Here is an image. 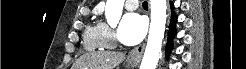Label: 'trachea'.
<instances>
[{
    "label": "trachea",
    "mask_w": 246,
    "mask_h": 69,
    "mask_svg": "<svg viewBox=\"0 0 246 69\" xmlns=\"http://www.w3.org/2000/svg\"><path fill=\"white\" fill-rule=\"evenodd\" d=\"M143 7H148V3L146 1L143 2Z\"/></svg>",
    "instance_id": "obj_1"
}]
</instances>
